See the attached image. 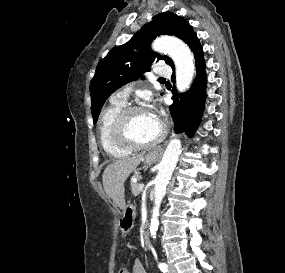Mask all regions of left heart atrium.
Segmentation results:
<instances>
[{
  "instance_id": "1",
  "label": "left heart atrium",
  "mask_w": 285,
  "mask_h": 273,
  "mask_svg": "<svg viewBox=\"0 0 285 273\" xmlns=\"http://www.w3.org/2000/svg\"><path fill=\"white\" fill-rule=\"evenodd\" d=\"M147 112L152 115L153 117L157 118V115L155 113L154 107L150 106L149 109L147 110Z\"/></svg>"
}]
</instances>
